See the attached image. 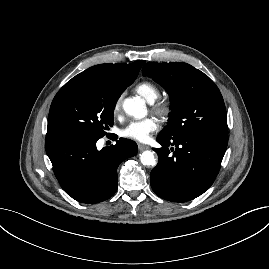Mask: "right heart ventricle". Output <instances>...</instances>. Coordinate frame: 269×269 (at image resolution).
<instances>
[{
    "label": "right heart ventricle",
    "instance_id": "right-heart-ventricle-1",
    "mask_svg": "<svg viewBox=\"0 0 269 269\" xmlns=\"http://www.w3.org/2000/svg\"><path fill=\"white\" fill-rule=\"evenodd\" d=\"M135 91L150 103L154 102L160 94L158 87L150 81L139 82L135 86Z\"/></svg>",
    "mask_w": 269,
    "mask_h": 269
}]
</instances>
